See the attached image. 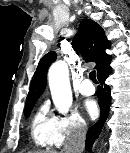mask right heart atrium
<instances>
[{
    "instance_id": "right-heart-atrium-1",
    "label": "right heart atrium",
    "mask_w": 130,
    "mask_h": 153,
    "mask_svg": "<svg viewBox=\"0 0 130 153\" xmlns=\"http://www.w3.org/2000/svg\"><path fill=\"white\" fill-rule=\"evenodd\" d=\"M86 121L77 112L57 117L56 145L61 146L67 140L81 137L86 131Z\"/></svg>"
}]
</instances>
